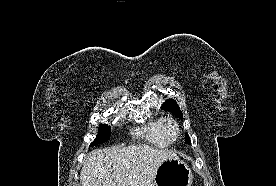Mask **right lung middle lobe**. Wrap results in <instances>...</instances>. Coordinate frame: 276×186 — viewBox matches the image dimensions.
<instances>
[{
  "instance_id": "right-lung-middle-lobe-1",
  "label": "right lung middle lobe",
  "mask_w": 276,
  "mask_h": 186,
  "mask_svg": "<svg viewBox=\"0 0 276 186\" xmlns=\"http://www.w3.org/2000/svg\"><path fill=\"white\" fill-rule=\"evenodd\" d=\"M110 134V127H108V125L106 124H100L98 136L95 138V140L91 143L90 146H96L107 141L109 139Z\"/></svg>"
}]
</instances>
